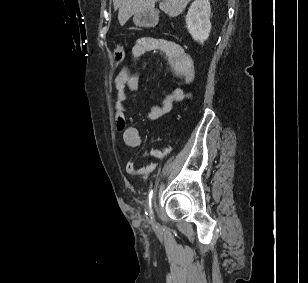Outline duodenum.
I'll return each instance as SVG.
<instances>
[{
  "instance_id": "1",
  "label": "duodenum",
  "mask_w": 308,
  "mask_h": 283,
  "mask_svg": "<svg viewBox=\"0 0 308 283\" xmlns=\"http://www.w3.org/2000/svg\"><path fill=\"white\" fill-rule=\"evenodd\" d=\"M157 16L155 13H150L148 14L145 19H144V23L147 26H152L155 25L157 23Z\"/></svg>"
}]
</instances>
